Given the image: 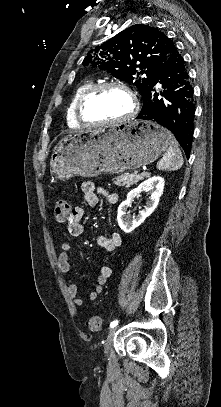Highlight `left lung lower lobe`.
Segmentation results:
<instances>
[{
    "mask_svg": "<svg viewBox=\"0 0 221 407\" xmlns=\"http://www.w3.org/2000/svg\"><path fill=\"white\" fill-rule=\"evenodd\" d=\"M157 83L161 87L159 93L154 89ZM143 98V107L136 119L150 120L170 130L189 157L194 133V90L184 58L174 44Z\"/></svg>",
    "mask_w": 221,
    "mask_h": 407,
    "instance_id": "obj_1",
    "label": "left lung lower lobe"
}]
</instances>
